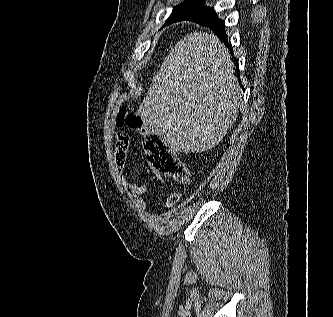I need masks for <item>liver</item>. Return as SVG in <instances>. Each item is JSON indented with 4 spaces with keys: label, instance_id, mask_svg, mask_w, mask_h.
Returning <instances> with one entry per match:
<instances>
[{
    "label": "liver",
    "instance_id": "liver-1",
    "mask_svg": "<svg viewBox=\"0 0 333 317\" xmlns=\"http://www.w3.org/2000/svg\"><path fill=\"white\" fill-rule=\"evenodd\" d=\"M242 97L225 45L193 32L166 56L137 114L173 151L200 153L227 134Z\"/></svg>",
    "mask_w": 333,
    "mask_h": 317
}]
</instances>
